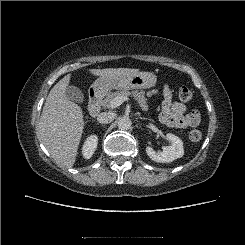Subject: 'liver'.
Masks as SVG:
<instances>
[{
  "instance_id": "1",
  "label": "liver",
  "mask_w": 245,
  "mask_h": 245,
  "mask_svg": "<svg viewBox=\"0 0 245 245\" xmlns=\"http://www.w3.org/2000/svg\"><path fill=\"white\" fill-rule=\"evenodd\" d=\"M99 77H122L135 74L139 69L106 68L89 69ZM71 74L64 76L50 90L38 123V132L54 161L62 167L71 168L77 156L85 121L82 109L66 98V88Z\"/></svg>"
}]
</instances>
